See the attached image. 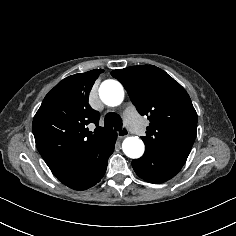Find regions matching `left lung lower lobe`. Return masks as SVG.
I'll return each instance as SVG.
<instances>
[{"instance_id":"left-lung-lower-lobe-1","label":"left lung lower lobe","mask_w":236,"mask_h":236,"mask_svg":"<svg viewBox=\"0 0 236 236\" xmlns=\"http://www.w3.org/2000/svg\"><path fill=\"white\" fill-rule=\"evenodd\" d=\"M185 162L186 158L168 151L146 149L141 158L132 161V167L143 180L160 184L174 177Z\"/></svg>"}]
</instances>
